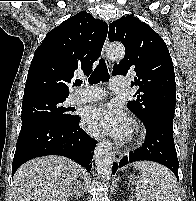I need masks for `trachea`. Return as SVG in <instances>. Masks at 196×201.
I'll list each match as a JSON object with an SVG mask.
<instances>
[{
  "label": "trachea",
  "instance_id": "3493384b",
  "mask_svg": "<svg viewBox=\"0 0 196 201\" xmlns=\"http://www.w3.org/2000/svg\"><path fill=\"white\" fill-rule=\"evenodd\" d=\"M110 78L107 66L103 60H100L99 65L95 68L91 76L88 78L90 84H96L100 81L106 82ZM76 85L80 86L81 81L76 82Z\"/></svg>",
  "mask_w": 196,
  "mask_h": 201
}]
</instances>
